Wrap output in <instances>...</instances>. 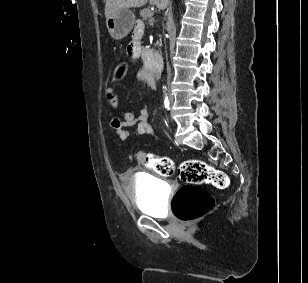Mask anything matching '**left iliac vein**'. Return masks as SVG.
Listing matches in <instances>:
<instances>
[{
  "label": "left iliac vein",
  "instance_id": "4c4485c4",
  "mask_svg": "<svg viewBox=\"0 0 308 283\" xmlns=\"http://www.w3.org/2000/svg\"><path fill=\"white\" fill-rule=\"evenodd\" d=\"M170 101H171V103L173 102V98L172 97H170Z\"/></svg>",
  "mask_w": 308,
  "mask_h": 283
}]
</instances>
